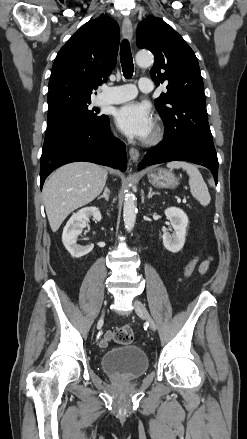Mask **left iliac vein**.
<instances>
[{
  "label": "left iliac vein",
  "instance_id": "obj_1",
  "mask_svg": "<svg viewBox=\"0 0 247 439\" xmlns=\"http://www.w3.org/2000/svg\"><path fill=\"white\" fill-rule=\"evenodd\" d=\"M134 308H135V312L136 314L147 321L149 327L151 330L155 331L156 330V324L154 322V320L151 318V316L149 315L145 305L139 301V300H135L134 301Z\"/></svg>",
  "mask_w": 247,
  "mask_h": 439
}]
</instances>
